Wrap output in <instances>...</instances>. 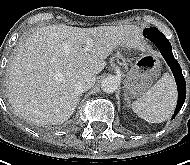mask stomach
Listing matches in <instances>:
<instances>
[{"label":"stomach","mask_w":190,"mask_h":165,"mask_svg":"<svg viewBox=\"0 0 190 165\" xmlns=\"http://www.w3.org/2000/svg\"><path fill=\"white\" fill-rule=\"evenodd\" d=\"M161 70L160 62L154 55H141L131 65L125 78V92L139 97L150 90Z\"/></svg>","instance_id":"obj_1"}]
</instances>
